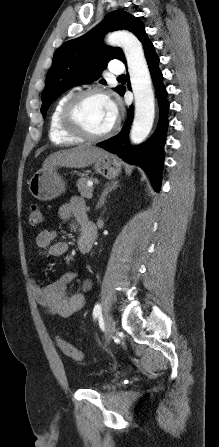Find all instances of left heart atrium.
<instances>
[{"mask_svg": "<svg viewBox=\"0 0 219 447\" xmlns=\"http://www.w3.org/2000/svg\"><path fill=\"white\" fill-rule=\"evenodd\" d=\"M108 105H109V110H110L111 116H112L113 120L116 121L118 114H119L118 105L113 100H108Z\"/></svg>", "mask_w": 219, "mask_h": 447, "instance_id": "39dd6f15", "label": "left heart atrium"}]
</instances>
